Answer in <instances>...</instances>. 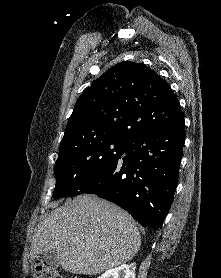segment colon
Segmentation results:
<instances>
[{
	"instance_id": "1",
	"label": "colon",
	"mask_w": 221,
	"mask_h": 278,
	"mask_svg": "<svg viewBox=\"0 0 221 278\" xmlns=\"http://www.w3.org/2000/svg\"><path fill=\"white\" fill-rule=\"evenodd\" d=\"M30 267L32 274L36 278H63L62 274L56 268L46 264L41 258H32Z\"/></svg>"
}]
</instances>
